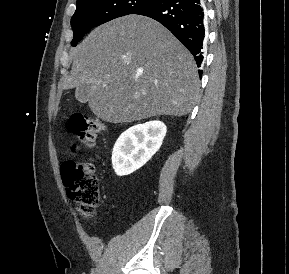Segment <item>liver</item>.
<instances>
[{"instance_id":"6515ba94","label":"liver","mask_w":289,"mask_h":274,"mask_svg":"<svg viewBox=\"0 0 289 274\" xmlns=\"http://www.w3.org/2000/svg\"><path fill=\"white\" fill-rule=\"evenodd\" d=\"M64 89L89 86L88 106L109 123L184 116L199 98L191 53L157 21L127 15L95 28L72 50Z\"/></svg>"}]
</instances>
